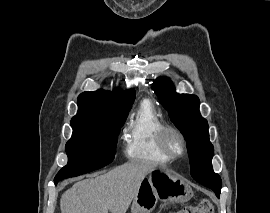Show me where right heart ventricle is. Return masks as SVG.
<instances>
[{
    "label": "right heart ventricle",
    "instance_id": "1",
    "mask_svg": "<svg viewBox=\"0 0 270 213\" xmlns=\"http://www.w3.org/2000/svg\"><path fill=\"white\" fill-rule=\"evenodd\" d=\"M164 121L150 101L141 102L125 130V154L133 161L167 163L158 146V133Z\"/></svg>",
    "mask_w": 270,
    "mask_h": 213
}]
</instances>
